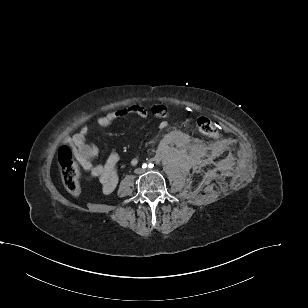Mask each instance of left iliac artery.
Returning a JSON list of instances; mask_svg holds the SVG:
<instances>
[{"instance_id": "left-iliac-artery-1", "label": "left iliac artery", "mask_w": 308, "mask_h": 308, "mask_svg": "<svg viewBox=\"0 0 308 308\" xmlns=\"http://www.w3.org/2000/svg\"><path fill=\"white\" fill-rule=\"evenodd\" d=\"M153 166H154V165H153V164H151V163H150V164H148V167H149V168H152Z\"/></svg>"}]
</instances>
